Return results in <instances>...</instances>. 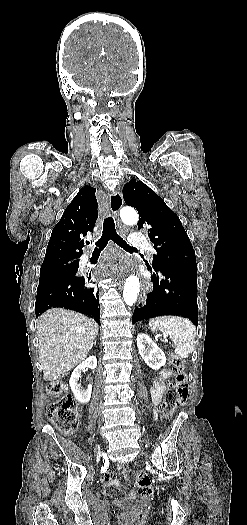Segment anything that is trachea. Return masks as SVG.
Listing matches in <instances>:
<instances>
[{"label":"trachea","instance_id":"1","mask_svg":"<svg viewBox=\"0 0 247 525\" xmlns=\"http://www.w3.org/2000/svg\"><path fill=\"white\" fill-rule=\"evenodd\" d=\"M109 240H113V242L123 248V250L136 249V247H131L122 237H120V235H118L115 228V222L111 215L104 219L102 236L95 243L96 247L93 253H100L104 250ZM86 243L89 245V242Z\"/></svg>","mask_w":247,"mask_h":525}]
</instances>
